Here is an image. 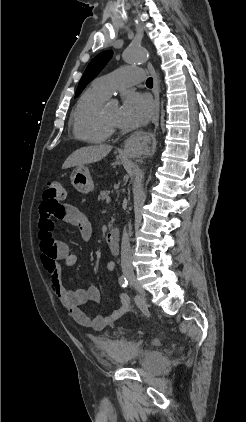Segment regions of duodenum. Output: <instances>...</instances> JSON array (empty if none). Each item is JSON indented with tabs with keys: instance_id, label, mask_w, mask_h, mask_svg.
Instances as JSON below:
<instances>
[{
	"instance_id": "duodenum-1",
	"label": "duodenum",
	"mask_w": 246,
	"mask_h": 422,
	"mask_svg": "<svg viewBox=\"0 0 246 422\" xmlns=\"http://www.w3.org/2000/svg\"><path fill=\"white\" fill-rule=\"evenodd\" d=\"M106 243L113 254L119 253V231L117 229H112L107 233Z\"/></svg>"
}]
</instances>
